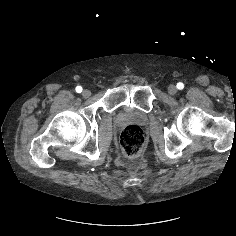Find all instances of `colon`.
I'll return each instance as SVG.
<instances>
[{
    "label": "colon",
    "mask_w": 236,
    "mask_h": 236,
    "mask_svg": "<svg viewBox=\"0 0 236 236\" xmlns=\"http://www.w3.org/2000/svg\"><path fill=\"white\" fill-rule=\"evenodd\" d=\"M120 144L126 156H137L145 145V135L142 128L137 125L125 127L120 136Z\"/></svg>",
    "instance_id": "obj_1"
}]
</instances>
